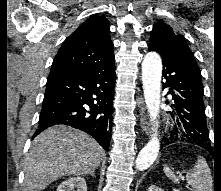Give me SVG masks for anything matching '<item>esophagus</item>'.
<instances>
[{"label": "esophagus", "instance_id": "obj_1", "mask_svg": "<svg viewBox=\"0 0 221 191\" xmlns=\"http://www.w3.org/2000/svg\"><path fill=\"white\" fill-rule=\"evenodd\" d=\"M138 107H139V115H140V125L142 128V131L145 132L146 134L149 133V123H148V118L147 115L145 114V106H144V101L143 98L140 97L138 100Z\"/></svg>", "mask_w": 221, "mask_h": 191}]
</instances>
